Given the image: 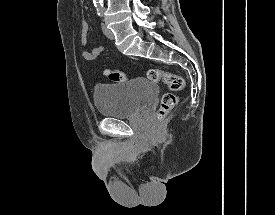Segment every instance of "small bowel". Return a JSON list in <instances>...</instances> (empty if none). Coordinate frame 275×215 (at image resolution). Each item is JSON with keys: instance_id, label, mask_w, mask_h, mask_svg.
I'll return each mask as SVG.
<instances>
[{"instance_id": "1", "label": "small bowel", "mask_w": 275, "mask_h": 215, "mask_svg": "<svg viewBox=\"0 0 275 215\" xmlns=\"http://www.w3.org/2000/svg\"><path fill=\"white\" fill-rule=\"evenodd\" d=\"M88 29V21L85 18H82L80 23V41L82 46L84 47V49L82 50V56L85 60L93 61L96 60L99 55L104 51V47L98 46L91 50L86 49V46L88 44Z\"/></svg>"}]
</instances>
